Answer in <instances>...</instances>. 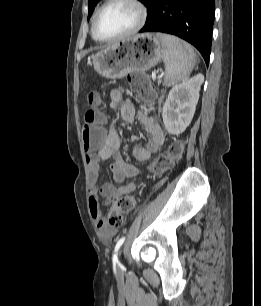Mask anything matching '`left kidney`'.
Wrapping results in <instances>:
<instances>
[{
  "mask_svg": "<svg viewBox=\"0 0 261 306\" xmlns=\"http://www.w3.org/2000/svg\"><path fill=\"white\" fill-rule=\"evenodd\" d=\"M203 82L204 76L198 74L170 90L162 110L164 126L169 134L179 135L191 123Z\"/></svg>",
  "mask_w": 261,
  "mask_h": 306,
  "instance_id": "1",
  "label": "left kidney"
}]
</instances>
